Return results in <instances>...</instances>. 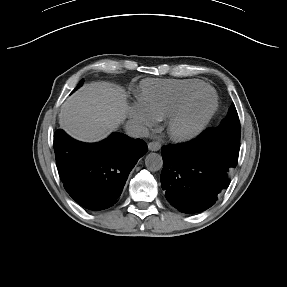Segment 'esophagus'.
Wrapping results in <instances>:
<instances>
[{"label":"esophagus","instance_id":"obj_1","mask_svg":"<svg viewBox=\"0 0 287 287\" xmlns=\"http://www.w3.org/2000/svg\"><path fill=\"white\" fill-rule=\"evenodd\" d=\"M161 148V144L157 141H152L148 144V149L150 151H158Z\"/></svg>","mask_w":287,"mask_h":287}]
</instances>
